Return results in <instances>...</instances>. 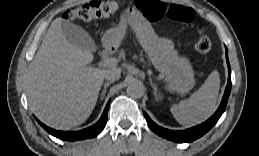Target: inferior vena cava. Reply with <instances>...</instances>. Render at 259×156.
Wrapping results in <instances>:
<instances>
[{
	"label": "inferior vena cava",
	"mask_w": 259,
	"mask_h": 156,
	"mask_svg": "<svg viewBox=\"0 0 259 156\" xmlns=\"http://www.w3.org/2000/svg\"><path fill=\"white\" fill-rule=\"evenodd\" d=\"M104 78L107 81H111L114 82L115 80H118L120 78V71L119 70H108L105 75Z\"/></svg>",
	"instance_id": "inferior-vena-cava-1"
}]
</instances>
